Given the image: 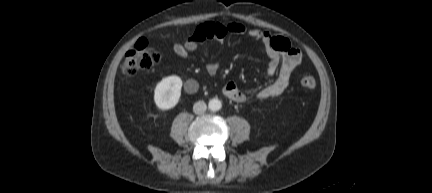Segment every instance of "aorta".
I'll return each mask as SVG.
<instances>
[{"instance_id": "aorta-1", "label": "aorta", "mask_w": 432, "mask_h": 193, "mask_svg": "<svg viewBox=\"0 0 432 193\" xmlns=\"http://www.w3.org/2000/svg\"><path fill=\"white\" fill-rule=\"evenodd\" d=\"M208 107L211 111H218L222 107V103L219 99L213 98L209 101Z\"/></svg>"}]
</instances>
